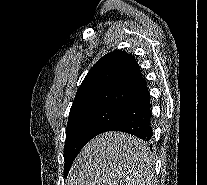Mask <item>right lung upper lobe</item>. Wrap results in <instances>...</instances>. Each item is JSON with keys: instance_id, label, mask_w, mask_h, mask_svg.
Wrapping results in <instances>:
<instances>
[{"instance_id": "cb5924a9", "label": "right lung upper lobe", "mask_w": 207, "mask_h": 185, "mask_svg": "<svg viewBox=\"0 0 207 185\" xmlns=\"http://www.w3.org/2000/svg\"><path fill=\"white\" fill-rule=\"evenodd\" d=\"M147 90L135 58L116 50L104 55L88 72L76 93L69 116L102 106L123 111Z\"/></svg>"}]
</instances>
